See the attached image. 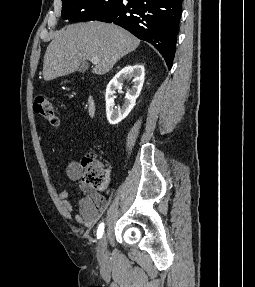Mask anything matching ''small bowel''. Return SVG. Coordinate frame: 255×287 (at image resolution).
<instances>
[{"label": "small bowel", "instance_id": "small-bowel-1", "mask_svg": "<svg viewBox=\"0 0 255 287\" xmlns=\"http://www.w3.org/2000/svg\"><path fill=\"white\" fill-rule=\"evenodd\" d=\"M66 176L69 180L79 184L83 197L79 201L78 213L75 215L77 223L92 228L99 220L100 213L106 208V200L103 196L90 192L82 182L83 168L77 161H71L66 167ZM61 211L66 218L71 217L72 206L68 200V192L62 190L58 193Z\"/></svg>", "mask_w": 255, "mask_h": 287}]
</instances>
